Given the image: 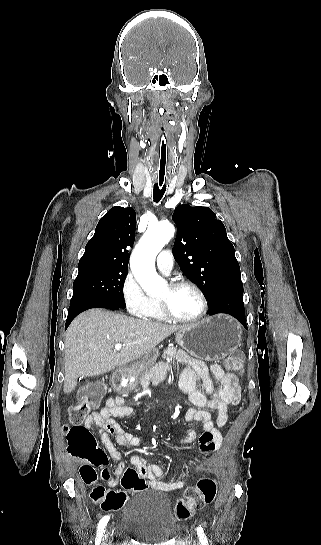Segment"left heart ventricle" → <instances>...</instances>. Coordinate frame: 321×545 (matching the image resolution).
I'll return each instance as SVG.
<instances>
[{
	"mask_svg": "<svg viewBox=\"0 0 321 545\" xmlns=\"http://www.w3.org/2000/svg\"><path fill=\"white\" fill-rule=\"evenodd\" d=\"M159 303L165 305L169 310L182 318H193L201 309V301L198 294L190 288L173 291L167 285Z\"/></svg>",
	"mask_w": 321,
	"mask_h": 545,
	"instance_id": "obj_1",
	"label": "left heart ventricle"
}]
</instances>
